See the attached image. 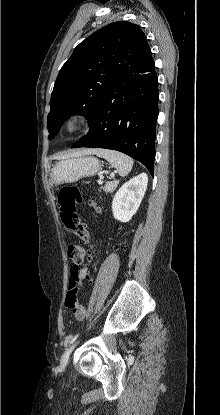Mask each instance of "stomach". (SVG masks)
I'll return each instance as SVG.
<instances>
[{"instance_id": "1", "label": "stomach", "mask_w": 220, "mask_h": 415, "mask_svg": "<svg viewBox=\"0 0 220 415\" xmlns=\"http://www.w3.org/2000/svg\"><path fill=\"white\" fill-rule=\"evenodd\" d=\"M102 169L100 161L92 156H80L60 161L51 173L54 184L75 182L96 175Z\"/></svg>"}]
</instances>
